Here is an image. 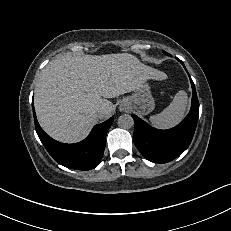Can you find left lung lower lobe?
Listing matches in <instances>:
<instances>
[{
	"mask_svg": "<svg viewBox=\"0 0 231 231\" xmlns=\"http://www.w3.org/2000/svg\"><path fill=\"white\" fill-rule=\"evenodd\" d=\"M177 60L184 66L181 60L178 58ZM191 85L193 90L191 110L176 127L168 130L155 129L139 117L132 115L134 143L147 160L155 163L169 162L182 154L190 145L199 117V103L192 80Z\"/></svg>",
	"mask_w": 231,
	"mask_h": 231,
	"instance_id": "left-lung-lower-lobe-1",
	"label": "left lung lower lobe"
}]
</instances>
